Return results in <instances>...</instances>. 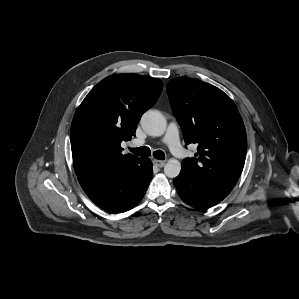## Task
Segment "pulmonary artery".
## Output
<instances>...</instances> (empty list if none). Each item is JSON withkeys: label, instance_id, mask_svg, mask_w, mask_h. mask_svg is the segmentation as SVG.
I'll list each match as a JSON object with an SVG mask.
<instances>
[{"label": "pulmonary artery", "instance_id": "1", "mask_svg": "<svg viewBox=\"0 0 299 299\" xmlns=\"http://www.w3.org/2000/svg\"><path fill=\"white\" fill-rule=\"evenodd\" d=\"M169 147L170 151L176 156L181 157L184 154V150L181 146L179 139V130L175 122H171L167 128L166 134L162 140ZM145 141L142 139H136L132 142L133 146H142Z\"/></svg>", "mask_w": 299, "mask_h": 299}]
</instances>
